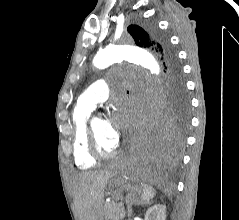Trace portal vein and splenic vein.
I'll return each mask as SVG.
<instances>
[{"mask_svg": "<svg viewBox=\"0 0 239 220\" xmlns=\"http://www.w3.org/2000/svg\"><path fill=\"white\" fill-rule=\"evenodd\" d=\"M123 205V203L121 202V203H119V206H122Z\"/></svg>", "mask_w": 239, "mask_h": 220, "instance_id": "1", "label": "portal vein and splenic vein"}]
</instances>
